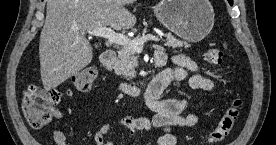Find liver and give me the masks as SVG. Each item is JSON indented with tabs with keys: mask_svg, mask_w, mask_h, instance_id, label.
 I'll return each instance as SVG.
<instances>
[{
	"mask_svg": "<svg viewBox=\"0 0 276 145\" xmlns=\"http://www.w3.org/2000/svg\"><path fill=\"white\" fill-rule=\"evenodd\" d=\"M133 1L48 0L39 42L44 89L59 86L91 62L93 47L86 39L88 31L98 27L116 31L132 28L136 17L124 6Z\"/></svg>",
	"mask_w": 276,
	"mask_h": 145,
	"instance_id": "obj_1",
	"label": "liver"
}]
</instances>
